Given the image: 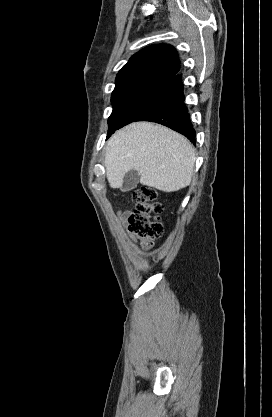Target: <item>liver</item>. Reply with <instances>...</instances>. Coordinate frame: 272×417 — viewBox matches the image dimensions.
I'll return each mask as SVG.
<instances>
[{"label": "liver", "instance_id": "obj_1", "mask_svg": "<svg viewBox=\"0 0 272 417\" xmlns=\"http://www.w3.org/2000/svg\"><path fill=\"white\" fill-rule=\"evenodd\" d=\"M195 159L184 136L161 125L136 122L111 136L104 165L112 188H120L125 174L134 169L142 185L170 193L191 183Z\"/></svg>", "mask_w": 272, "mask_h": 417}]
</instances>
